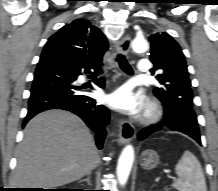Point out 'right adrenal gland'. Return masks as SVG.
I'll return each instance as SVG.
<instances>
[{"instance_id":"obj_1","label":"right adrenal gland","mask_w":218,"mask_h":191,"mask_svg":"<svg viewBox=\"0 0 218 191\" xmlns=\"http://www.w3.org/2000/svg\"><path fill=\"white\" fill-rule=\"evenodd\" d=\"M90 175H91V172L87 174V178H86V179H83V180L79 181V183H81V182H87L88 185H91V182H90Z\"/></svg>"}]
</instances>
